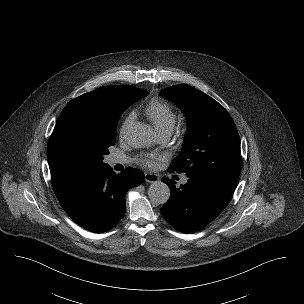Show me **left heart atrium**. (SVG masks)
I'll list each match as a JSON object with an SVG mask.
<instances>
[{
	"label": "left heart atrium",
	"mask_w": 304,
	"mask_h": 304,
	"mask_svg": "<svg viewBox=\"0 0 304 304\" xmlns=\"http://www.w3.org/2000/svg\"><path fill=\"white\" fill-rule=\"evenodd\" d=\"M139 161L145 167H153L156 165L157 158L153 156H143Z\"/></svg>",
	"instance_id": "obj_1"
}]
</instances>
